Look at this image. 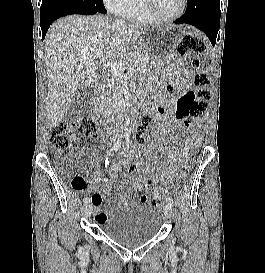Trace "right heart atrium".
<instances>
[{
  "mask_svg": "<svg viewBox=\"0 0 265 273\" xmlns=\"http://www.w3.org/2000/svg\"><path fill=\"white\" fill-rule=\"evenodd\" d=\"M134 0H103L105 7L111 12L123 15L133 4Z\"/></svg>",
  "mask_w": 265,
  "mask_h": 273,
  "instance_id": "right-heart-atrium-1",
  "label": "right heart atrium"
}]
</instances>
